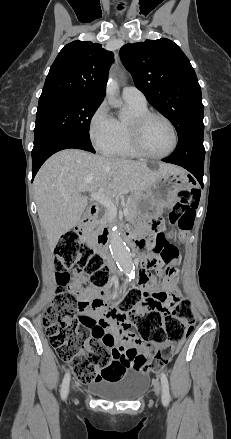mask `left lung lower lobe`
Wrapping results in <instances>:
<instances>
[{
  "mask_svg": "<svg viewBox=\"0 0 231 439\" xmlns=\"http://www.w3.org/2000/svg\"><path fill=\"white\" fill-rule=\"evenodd\" d=\"M204 126L186 130L179 138L176 150L162 161L180 165L191 172L203 187L205 149L203 146Z\"/></svg>",
  "mask_w": 231,
  "mask_h": 439,
  "instance_id": "0a47b994",
  "label": "left lung lower lobe"
}]
</instances>
